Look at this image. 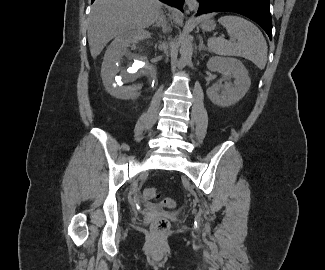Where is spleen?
I'll return each mask as SVG.
<instances>
[{"label": "spleen", "mask_w": 325, "mask_h": 270, "mask_svg": "<svg viewBox=\"0 0 325 270\" xmlns=\"http://www.w3.org/2000/svg\"><path fill=\"white\" fill-rule=\"evenodd\" d=\"M232 41L224 38H210L207 45L211 52L222 56L243 57L252 61L259 69H264L267 62V43L256 25L234 15H226L218 19ZM236 40V41H235Z\"/></svg>", "instance_id": "spleen-1"}]
</instances>
